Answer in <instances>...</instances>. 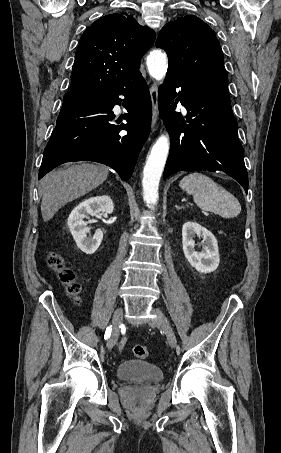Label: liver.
<instances>
[{
  "mask_svg": "<svg viewBox=\"0 0 281 453\" xmlns=\"http://www.w3.org/2000/svg\"><path fill=\"white\" fill-rule=\"evenodd\" d=\"M109 166L104 164H72L66 170H53L40 180L41 214L47 222L66 202H71L108 178Z\"/></svg>",
  "mask_w": 281,
  "mask_h": 453,
  "instance_id": "obj_1",
  "label": "liver"
}]
</instances>
